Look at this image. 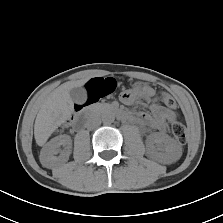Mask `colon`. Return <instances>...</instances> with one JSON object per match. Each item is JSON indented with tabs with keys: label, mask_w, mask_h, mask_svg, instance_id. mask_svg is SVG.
<instances>
[{
	"label": "colon",
	"mask_w": 223,
	"mask_h": 223,
	"mask_svg": "<svg viewBox=\"0 0 223 223\" xmlns=\"http://www.w3.org/2000/svg\"><path fill=\"white\" fill-rule=\"evenodd\" d=\"M115 88L116 84L113 79H94L89 81L86 85V104L97 102L100 98L112 94ZM161 100L168 108H174L176 106L174 98L168 94H162ZM170 129L179 143H186L187 134L185 126L182 123L172 122Z\"/></svg>",
	"instance_id": "5ec220e1"
}]
</instances>
